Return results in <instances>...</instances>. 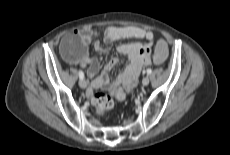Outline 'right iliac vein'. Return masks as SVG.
I'll return each mask as SVG.
<instances>
[{"label":"right iliac vein","mask_w":230,"mask_h":155,"mask_svg":"<svg viewBox=\"0 0 230 155\" xmlns=\"http://www.w3.org/2000/svg\"><path fill=\"white\" fill-rule=\"evenodd\" d=\"M79 86L82 88V89H85L86 86H87V83L84 79H80L79 80Z\"/></svg>","instance_id":"right-iliac-vein-1"}]
</instances>
